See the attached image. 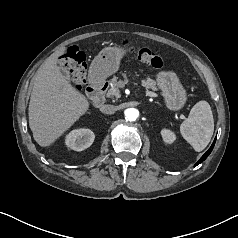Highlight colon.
I'll use <instances>...</instances> for the list:
<instances>
[{
    "mask_svg": "<svg viewBox=\"0 0 238 238\" xmlns=\"http://www.w3.org/2000/svg\"><path fill=\"white\" fill-rule=\"evenodd\" d=\"M128 40H122L121 45L129 47ZM138 60L147 63L155 69H161L164 66L163 56L159 51L152 50L148 47H143L136 52ZM60 62L68 68L73 81L77 87H82L85 83L87 70L85 54L74 47L68 48L60 55Z\"/></svg>",
    "mask_w": 238,
    "mask_h": 238,
    "instance_id": "colon-1",
    "label": "colon"
}]
</instances>
